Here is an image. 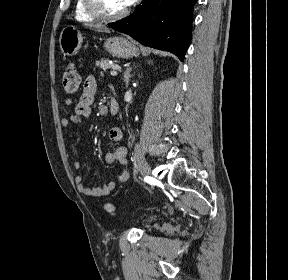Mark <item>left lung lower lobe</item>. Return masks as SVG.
<instances>
[{
    "mask_svg": "<svg viewBox=\"0 0 288 280\" xmlns=\"http://www.w3.org/2000/svg\"><path fill=\"white\" fill-rule=\"evenodd\" d=\"M197 0H143L134 13L108 26L145 46L174 53L181 61L189 47Z\"/></svg>",
    "mask_w": 288,
    "mask_h": 280,
    "instance_id": "obj_1",
    "label": "left lung lower lobe"
}]
</instances>
